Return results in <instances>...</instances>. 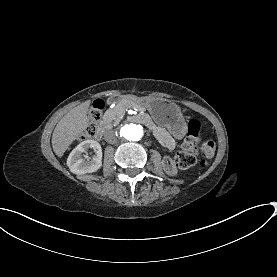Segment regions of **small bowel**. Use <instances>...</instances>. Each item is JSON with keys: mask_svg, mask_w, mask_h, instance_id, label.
<instances>
[{"mask_svg": "<svg viewBox=\"0 0 277 277\" xmlns=\"http://www.w3.org/2000/svg\"><path fill=\"white\" fill-rule=\"evenodd\" d=\"M185 133L186 128L184 126H180L176 129L175 135L177 137H182L185 135ZM154 134L164 149L171 151L175 148L176 143L174 138L164 128L155 127Z\"/></svg>", "mask_w": 277, "mask_h": 277, "instance_id": "1", "label": "small bowel"}]
</instances>
